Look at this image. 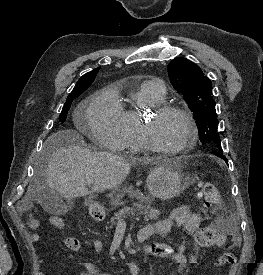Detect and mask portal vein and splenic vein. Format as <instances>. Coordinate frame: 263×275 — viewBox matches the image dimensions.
<instances>
[{
	"instance_id": "18ae733b",
	"label": "portal vein and splenic vein",
	"mask_w": 263,
	"mask_h": 275,
	"mask_svg": "<svg viewBox=\"0 0 263 275\" xmlns=\"http://www.w3.org/2000/svg\"><path fill=\"white\" fill-rule=\"evenodd\" d=\"M87 185H88L89 187H91L92 183L89 182ZM118 223H119V224H125V220L121 218V219L118 221Z\"/></svg>"
}]
</instances>
